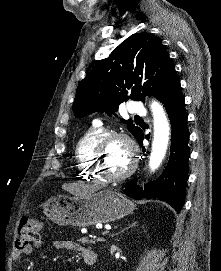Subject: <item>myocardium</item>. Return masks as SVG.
I'll use <instances>...</instances> for the list:
<instances>
[{
	"label": "myocardium",
	"mask_w": 221,
	"mask_h": 271,
	"mask_svg": "<svg viewBox=\"0 0 221 271\" xmlns=\"http://www.w3.org/2000/svg\"><path fill=\"white\" fill-rule=\"evenodd\" d=\"M110 137H103L100 140V145H96L97 152L92 157L93 167L95 174L103 176L102 178H129L133 174L132 170H139L138 157H131L130 170H125L124 173H112L111 175L107 171V166L102 165V156L106 154V146L111 145L113 142H122L123 150H128V155L138 154V145L135 142H131L133 137H130V133H109Z\"/></svg>",
	"instance_id": "obj_1"
}]
</instances>
